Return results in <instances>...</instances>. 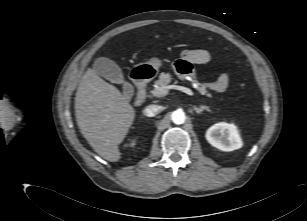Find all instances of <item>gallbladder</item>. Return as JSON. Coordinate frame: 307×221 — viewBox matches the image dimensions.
I'll use <instances>...</instances> for the list:
<instances>
[{
  "instance_id": "bac80fb5",
  "label": "gallbladder",
  "mask_w": 307,
  "mask_h": 221,
  "mask_svg": "<svg viewBox=\"0 0 307 221\" xmlns=\"http://www.w3.org/2000/svg\"><path fill=\"white\" fill-rule=\"evenodd\" d=\"M94 71L110 81L111 83L122 86L123 94L130 99L134 94V87L125 80L121 68L111 59L100 57L94 61Z\"/></svg>"
}]
</instances>
